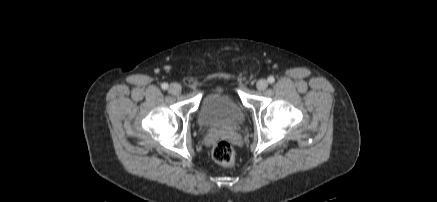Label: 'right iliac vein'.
Returning <instances> with one entry per match:
<instances>
[{
    "instance_id": "obj_1",
    "label": "right iliac vein",
    "mask_w": 437,
    "mask_h": 202,
    "mask_svg": "<svg viewBox=\"0 0 437 202\" xmlns=\"http://www.w3.org/2000/svg\"><path fill=\"white\" fill-rule=\"evenodd\" d=\"M168 91L173 95H178L181 92V86L177 83H173L170 85Z\"/></svg>"
}]
</instances>
